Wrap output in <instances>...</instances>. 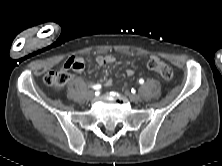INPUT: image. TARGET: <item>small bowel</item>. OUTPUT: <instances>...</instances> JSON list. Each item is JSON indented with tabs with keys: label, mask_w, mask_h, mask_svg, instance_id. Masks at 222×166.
<instances>
[{
	"label": "small bowel",
	"mask_w": 222,
	"mask_h": 166,
	"mask_svg": "<svg viewBox=\"0 0 222 166\" xmlns=\"http://www.w3.org/2000/svg\"><path fill=\"white\" fill-rule=\"evenodd\" d=\"M96 63L99 66H107L110 65L112 63L115 62V57L113 55L110 54H106V55H98L96 57ZM64 68L65 69H72L76 72H82L85 68V62L83 60V58L79 55H73L71 57H69L65 63H64ZM126 76L130 77L134 74V70L133 69H127L125 72ZM112 84V80L108 79L105 82V86H110Z\"/></svg>",
	"instance_id": "1"
}]
</instances>
